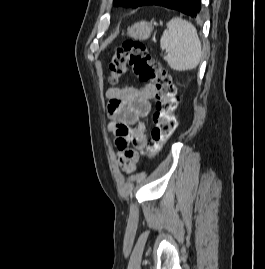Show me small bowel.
I'll return each mask as SVG.
<instances>
[{"label": "small bowel", "mask_w": 265, "mask_h": 269, "mask_svg": "<svg viewBox=\"0 0 265 269\" xmlns=\"http://www.w3.org/2000/svg\"><path fill=\"white\" fill-rule=\"evenodd\" d=\"M105 97L108 99L107 112L111 118L109 131L117 134L118 126L122 124L127 126L130 131L136 130L134 138L117 134L115 141L119 164L125 172L130 173L138 162L139 150L147 142L141 120L152 109L155 87L153 84H145L140 88L134 86L113 87L106 90Z\"/></svg>", "instance_id": "1"}]
</instances>
